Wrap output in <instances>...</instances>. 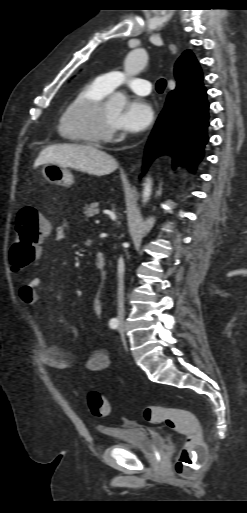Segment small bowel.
<instances>
[{
	"label": "small bowel",
	"mask_w": 247,
	"mask_h": 513,
	"mask_svg": "<svg viewBox=\"0 0 247 513\" xmlns=\"http://www.w3.org/2000/svg\"><path fill=\"white\" fill-rule=\"evenodd\" d=\"M65 225L56 226L50 233L55 242H61L65 238ZM49 233V234H50ZM41 288V279L38 277L31 278L25 285L19 288V299L27 306H33L39 301V289ZM92 308L97 314L101 316L103 313L102 302L99 297H94L92 300ZM41 362L51 369H69L72 367L69 354L51 342L45 344L44 350L41 354ZM110 365V357L103 349L92 351L86 358L84 367L89 372L103 371Z\"/></svg>",
	"instance_id": "obj_1"
}]
</instances>
